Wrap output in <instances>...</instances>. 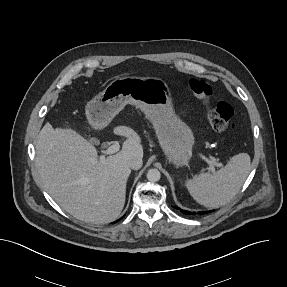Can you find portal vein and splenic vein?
<instances>
[{"mask_svg":"<svg viewBox=\"0 0 287 287\" xmlns=\"http://www.w3.org/2000/svg\"><path fill=\"white\" fill-rule=\"evenodd\" d=\"M120 149V145L118 142L114 143L113 145L109 146L107 149H105L104 151H102V155L100 156L101 160L105 159V155H111L114 154L116 152H118ZM202 159H204L208 164H209V169L214 172L215 168L214 166L217 165L219 167H223L222 163H217L216 160L214 158L208 159L207 157L201 155Z\"/></svg>","mask_w":287,"mask_h":287,"instance_id":"18ae733b","label":"portal vein and splenic vein"}]
</instances>
